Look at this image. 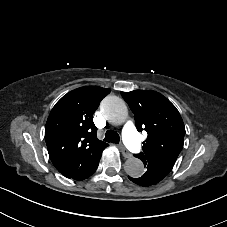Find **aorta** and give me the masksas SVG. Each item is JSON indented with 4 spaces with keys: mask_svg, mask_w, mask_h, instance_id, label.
I'll return each instance as SVG.
<instances>
[{
    "mask_svg": "<svg viewBox=\"0 0 227 227\" xmlns=\"http://www.w3.org/2000/svg\"><path fill=\"white\" fill-rule=\"evenodd\" d=\"M104 117L113 124H122L128 118V109L125 102L117 96H107L100 105ZM126 173L133 178L141 177L144 172L143 162L135 157L125 162Z\"/></svg>",
    "mask_w": 227,
    "mask_h": 227,
    "instance_id": "1",
    "label": "aorta"
}]
</instances>
